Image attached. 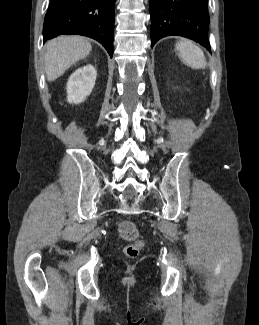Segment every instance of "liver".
Instances as JSON below:
<instances>
[{"label": "liver", "instance_id": "6515ba94", "mask_svg": "<svg viewBox=\"0 0 259 325\" xmlns=\"http://www.w3.org/2000/svg\"><path fill=\"white\" fill-rule=\"evenodd\" d=\"M45 71L48 81L62 76L73 64L87 57L92 46L79 36H60L45 45Z\"/></svg>", "mask_w": 259, "mask_h": 325}]
</instances>
